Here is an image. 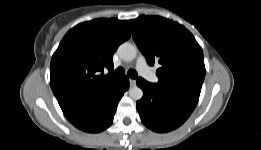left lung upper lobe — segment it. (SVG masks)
I'll use <instances>...</instances> for the list:
<instances>
[{"label":"left lung upper lobe","instance_id":"5c2ea615","mask_svg":"<svg viewBox=\"0 0 261 150\" xmlns=\"http://www.w3.org/2000/svg\"><path fill=\"white\" fill-rule=\"evenodd\" d=\"M129 23L148 64H161L156 71L157 85L200 94L205 65L203 51L193 35L177 22L158 16H140Z\"/></svg>","mask_w":261,"mask_h":150}]
</instances>
